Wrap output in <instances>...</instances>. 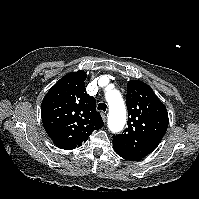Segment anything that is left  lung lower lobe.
I'll return each instance as SVG.
<instances>
[{
    "label": "left lung lower lobe",
    "instance_id": "left-lung-lower-lobe-1",
    "mask_svg": "<svg viewBox=\"0 0 199 199\" xmlns=\"http://www.w3.org/2000/svg\"><path fill=\"white\" fill-rule=\"evenodd\" d=\"M113 148H114V151L122 158L126 159V160H129V161H137V160H140L141 158L136 156V155H133L125 150H123L122 148L116 146V145H113Z\"/></svg>",
    "mask_w": 199,
    "mask_h": 199
}]
</instances>
